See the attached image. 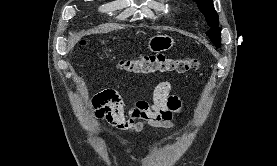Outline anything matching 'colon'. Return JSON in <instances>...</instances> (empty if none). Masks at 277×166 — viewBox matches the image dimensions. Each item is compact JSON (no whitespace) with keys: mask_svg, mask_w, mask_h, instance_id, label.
Returning a JSON list of instances; mask_svg holds the SVG:
<instances>
[{"mask_svg":"<svg viewBox=\"0 0 277 166\" xmlns=\"http://www.w3.org/2000/svg\"><path fill=\"white\" fill-rule=\"evenodd\" d=\"M120 68L134 74H157L177 72L185 73L194 70L198 66L196 59H175L164 54H151L122 60Z\"/></svg>","mask_w":277,"mask_h":166,"instance_id":"obj_1","label":"colon"}]
</instances>
